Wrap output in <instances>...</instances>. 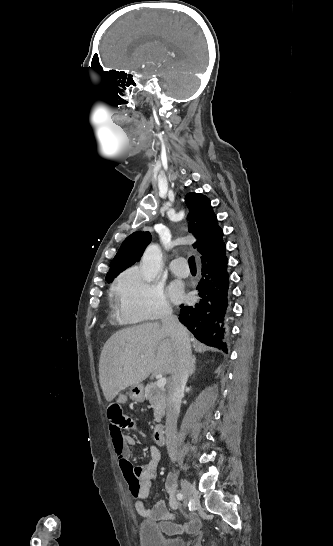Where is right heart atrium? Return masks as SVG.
Returning <instances> with one entry per match:
<instances>
[{"mask_svg":"<svg viewBox=\"0 0 333 546\" xmlns=\"http://www.w3.org/2000/svg\"><path fill=\"white\" fill-rule=\"evenodd\" d=\"M117 313L124 323L162 320L172 310L161 285L149 282L138 268H131L116 282Z\"/></svg>","mask_w":333,"mask_h":546,"instance_id":"1","label":"right heart atrium"}]
</instances>
